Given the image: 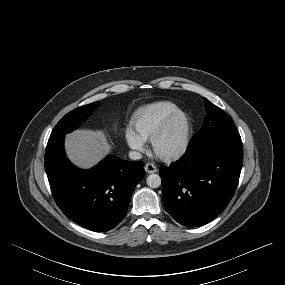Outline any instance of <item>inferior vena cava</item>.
I'll return each mask as SVG.
<instances>
[{
  "instance_id": "inferior-vena-cava-1",
  "label": "inferior vena cava",
  "mask_w": 285,
  "mask_h": 285,
  "mask_svg": "<svg viewBox=\"0 0 285 285\" xmlns=\"http://www.w3.org/2000/svg\"><path fill=\"white\" fill-rule=\"evenodd\" d=\"M129 158L132 160H138V159L142 158V155H141V153H139L137 151H130Z\"/></svg>"
}]
</instances>
